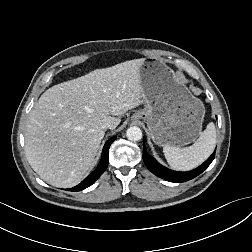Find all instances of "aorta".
I'll return each mask as SVG.
<instances>
[{"mask_svg": "<svg viewBox=\"0 0 252 252\" xmlns=\"http://www.w3.org/2000/svg\"><path fill=\"white\" fill-rule=\"evenodd\" d=\"M126 136L130 141H140L142 139V131L139 127L132 126L127 129Z\"/></svg>", "mask_w": 252, "mask_h": 252, "instance_id": "1", "label": "aorta"}]
</instances>
